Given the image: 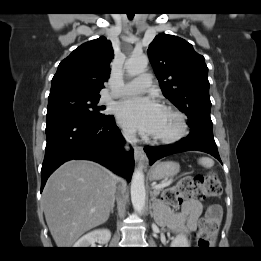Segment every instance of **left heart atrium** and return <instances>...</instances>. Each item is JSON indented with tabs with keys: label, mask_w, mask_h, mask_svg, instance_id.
Instances as JSON below:
<instances>
[{
	"label": "left heart atrium",
	"mask_w": 261,
	"mask_h": 261,
	"mask_svg": "<svg viewBox=\"0 0 261 261\" xmlns=\"http://www.w3.org/2000/svg\"><path fill=\"white\" fill-rule=\"evenodd\" d=\"M164 113V108L150 97L126 99L117 108L119 123L124 128L143 135L157 133Z\"/></svg>",
	"instance_id": "obj_1"
}]
</instances>
